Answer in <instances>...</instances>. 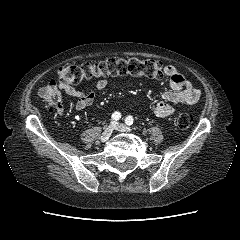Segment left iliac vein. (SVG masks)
Instances as JSON below:
<instances>
[{
  "label": "left iliac vein",
  "mask_w": 240,
  "mask_h": 240,
  "mask_svg": "<svg viewBox=\"0 0 240 240\" xmlns=\"http://www.w3.org/2000/svg\"><path fill=\"white\" fill-rule=\"evenodd\" d=\"M114 128L120 132H131V129L124 124L115 123Z\"/></svg>",
  "instance_id": "4c4485c4"
}]
</instances>
